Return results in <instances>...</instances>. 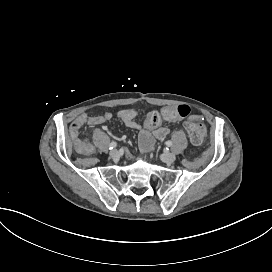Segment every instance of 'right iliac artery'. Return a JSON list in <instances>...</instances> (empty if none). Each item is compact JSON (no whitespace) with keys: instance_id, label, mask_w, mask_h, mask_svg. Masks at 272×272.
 Wrapping results in <instances>:
<instances>
[{"instance_id":"1","label":"right iliac artery","mask_w":272,"mask_h":272,"mask_svg":"<svg viewBox=\"0 0 272 272\" xmlns=\"http://www.w3.org/2000/svg\"><path fill=\"white\" fill-rule=\"evenodd\" d=\"M116 146H117V143H116V142H111L110 145H109V149L112 150V149H114Z\"/></svg>"}]
</instances>
